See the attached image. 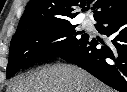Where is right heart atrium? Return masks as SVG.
Returning a JSON list of instances; mask_svg holds the SVG:
<instances>
[{
	"label": "right heart atrium",
	"instance_id": "1",
	"mask_svg": "<svg viewBox=\"0 0 127 92\" xmlns=\"http://www.w3.org/2000/svg\"><path fill=\"white\" fill-rule=\"evenodd\" d=\"M59 45L60 41L57 37H50L44 42V52L47 55H52L58 51Z\"/></svg>",
	"mask_w": 127,
	"mask_h": 92
}]
</instances>
